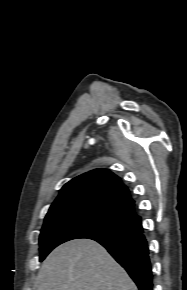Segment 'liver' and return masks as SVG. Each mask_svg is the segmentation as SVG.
Instances as JSON below:
<instances>
[{
    "instance_id": "1",
    "label": "liver",
    "mask_w": 187,
    "mask_h": 290,
    "mask_svg": "<svg viewBox=\"0 0 187 290\" xmlns=\"http://www.w3.org/2000/svg\"><path fill=\"white\" fill-rule=\"evenodd\" d=\"M37 290H138L127 272L96 241L61 244L44 260Z\"/></svg>"
}]
</instances>
